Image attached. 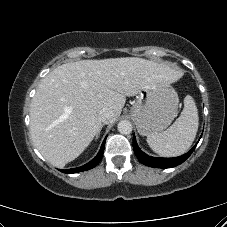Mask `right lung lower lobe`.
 I'll return each instance as SVG.
<instances>
[{
  "label": "right lung lower lobe",
  "mask_w": 227,
  "mask_h": 227,
  "mask_svg": "<svg viewBox=\"0 0 227 227\" xmlns=\"http://www.w3.org/2000/svg\"><path fill=\"white\" fill-rule=\"evenodd\" d=\"M105 141H106V138L104 139L102 146H101V149L98 152L97 156L94 159H92L90 162H88L87 164H85L81 167L72 168V169H68V170H61V172L67 173V174H72V173L86 171V170L94 168L100 162V160L103 156Z\"/></svg>",
  "instance_id": "right-lung-lower-lobe-1"
}]
</instances>
